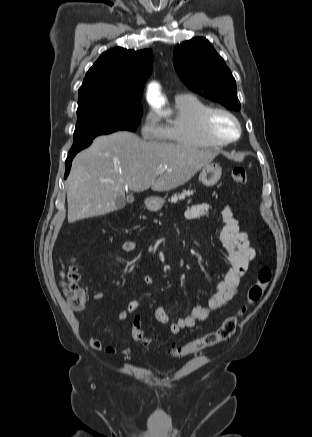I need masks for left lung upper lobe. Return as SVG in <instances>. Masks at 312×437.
<instances>
[{"label": "left lung upper lobe", "mask_w": 312, "mask_h": 437, "mask_svg": "<svg viewBox=\"0 0 312 437\" xmlns=\"http://www.w3.org/2000/svg\"><path fill=\"white\" fill-rule=\"evenodd\" d=\"M173 63L178 75L191 90L228 109L240 110L235 79L206 38L196 37L177 45Z\"/></svg>", "instance_id": "obj_1"}]
</instances>
